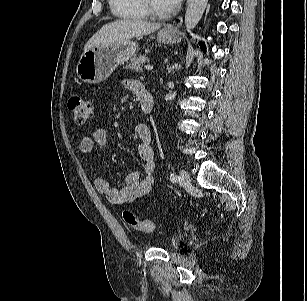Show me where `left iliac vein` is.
Listing matches in <instances>:
<instances>
[{"label":"left iliac vein","mask_w":307,"mask_h":301,"mask_svg":"<svg viewBox=\"0 0 307 301\" xmlns=\"http://www.w3.org/2000/svg\"><path fill=\"white\" fill-rule=\"evenodd\" d=\"M179 182L184 188H188L191 185V178L189 176V173L184 169L180 170Z\"/></svg>","instance_id":"1"}]
</instances>
